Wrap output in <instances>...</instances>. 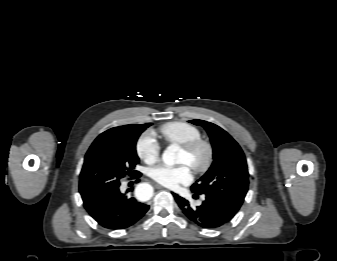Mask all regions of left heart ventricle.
Wrapping results in <instances>:
<instances>
[{"label": "left heart ventricle", "instance_id": "obj_1", "mask_svg": "<svg viewBox=\"0 0 337 261\" xmlns=\"http://www.w3.org/2000/svg\"><path fill=\"white\" fill-rule=\"evenodd\" d=\"M204 158H205V151L203 149H200L193 155H190L183 149H181L178 162L190 166L193 163H201L204 160Z\"/></svg>", "mask_w": 337, "mask_h": 261}]
</instances>
